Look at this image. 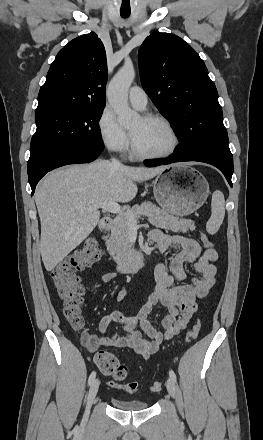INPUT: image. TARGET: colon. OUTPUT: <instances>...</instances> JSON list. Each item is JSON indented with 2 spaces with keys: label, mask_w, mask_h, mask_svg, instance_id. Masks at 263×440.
<instances>
[{
  "label": "colon",
  "mask_w": 263,
  "mask_h": 440,
  "mask_svg": "<svg viewBox=\"0 0 263 440\" xmlns=\"http://www.w3.org/2000/svg\"><path fill=\"white\" fill-rule=\"evenodd\" d=\"M202 244L206 248H213V243L205 235L200 236ZM100 258L98 242L94 238L87 239L75 252L60 262L52 271V278L61 300L64 315L75 331L82 330L84 326V286L77 272L84 270L97 262ZM200 326L194 325L187 334V341L195 340L199 334ZM91 338H86L88 344ZM96 365L101 373L111 376L115 381H122L128 374L127 367L122 364L113 354L99 352L96 356ZM123 390L133 393L138 390L135 381L119 385ZM161 383L154 382L151 390H161Z\"/></svg>",
  "instance_id": "1"
}]
</instances>
